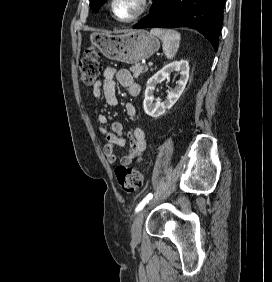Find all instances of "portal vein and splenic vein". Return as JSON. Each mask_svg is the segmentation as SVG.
<instances>
[{"label":"portal vein and splenic vein","instance_id":"1","mask_svg":"<svg viewBox=\"0 0 272 282\" xmlns=\"http://www.w3.org/2000/svg\"><path fill=\"white\" fill-rule=\"evenodd\" d=\"M148 66H149V67H152V66H153V63H152V62H149V63H148Z\"/></svg>","mask_w":272,"mask_h":282}]
</instances>
